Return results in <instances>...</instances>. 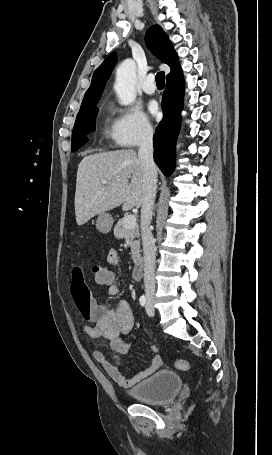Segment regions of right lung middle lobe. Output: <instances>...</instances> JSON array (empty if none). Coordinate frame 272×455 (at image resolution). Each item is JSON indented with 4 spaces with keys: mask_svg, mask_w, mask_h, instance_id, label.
I'll use <instances>...</instances> for the list:
<instances>
[{
    "mask_svg": "<svg viewBox=\"0 0 272 455\" xmlns=\"http://www.w3.org/2000/svg\"><path fill=\"white\" fill-rule=\"evenodd\" d=\"M97 103L81 108L72 133L71 150L77 151L87 141V134L95 130V118L98 112Z\"/></svg>",
    "mask_w": 272,
    "mask_h": 455,
    "instance_id": "dd1d6c3e",
    "label": "right lung middle lobe"
}]
</instances>
